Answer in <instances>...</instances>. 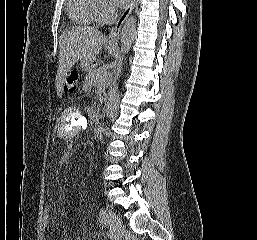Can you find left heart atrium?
Masks as SVG:
<instances>
[{
	"label": "left heart atrium",
	"mask_w": 257,
	"mask_h": 240,
	"mask_svg": "<svg viewBox=\"0 0 257 240\" xmlns=\"http://www.w3.org/2000/svg\"><path fill=\"white\" fill-rule=\"evenodd\" d=\"M130 0H112L113 4L118 7H124L128 4Z\"/></svg>",
	"instance_id": "39dd6f15"
}]
</instances>
